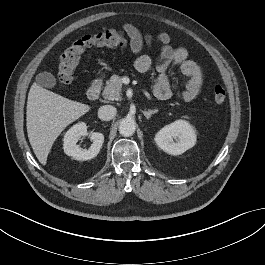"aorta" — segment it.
<instances>
[{"label":"aorta","instance_id":"aorta-1","mask_svg":"<svg viewBox=\"0 0 265 265\" xmlns=\"http://www.w3.org/2000/svg\"><path fill=\"white\" fill-rule=\"evenodd\" d=\"M135 130H136V123L132 118L127 117L122 119L119 125V133L122 136L129 137L134 134Z\"/></svg>","mask_w":265,"mask_h":265}]
</instances>
